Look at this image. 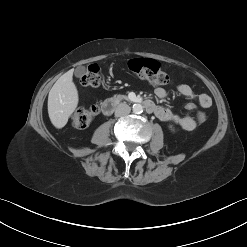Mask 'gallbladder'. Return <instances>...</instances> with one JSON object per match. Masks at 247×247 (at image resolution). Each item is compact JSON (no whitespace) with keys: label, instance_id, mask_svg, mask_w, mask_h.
Segmentation results:
<instances>
[{"label":"gallbladder","instance_id":"gallbladder-1","mask_svg":"<svg viewBox=\"0 0 247 247\" xmlns=\"http://www.w3.org/2000/svg\"><path fill=\"white\" fill-rule=\"evenodd\" d=\"M85 73V67L79 66L75 69V75L80 77Z\"/></svg>","mask_w":247,"mask_h":247}]
</instances>
